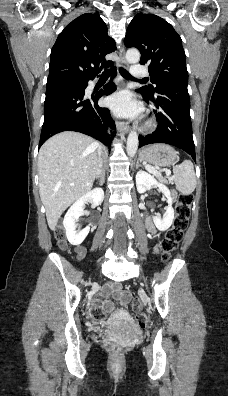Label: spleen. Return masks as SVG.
I'll use <instances>...</instances> for the list:
<instances>
[{"label": "spleen", "instance_id": "obj_1", "mask_svg": "<svg viewBox=\"0 0 228 396\" xmlns=\"http://www.w3.org/2000/svg\"><path fill=\"white\" fill-rule=\"evenodd\" d=\"M173 173L176 189L183 195H190L196 187V176L192 162L184 160L181 164L173 167Z\"/></svg>", "mask_w": 228, "mask_h": 396}]
</instances>
